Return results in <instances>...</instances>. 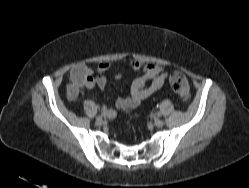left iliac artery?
Masks as SVG:
<instances>
[{"label": "left iliac artery", "instance_id": "44dca946", "mask_svg": "<svg viewBox=\"0 0 249 188\" xmlns=\"http://www.w3.org/2000/svg\"><path fill=\"white\" fill-rule=\"evenodd\" d=\"M155 116L161 117V113H160V112H157V113L155 114Z\"/></svg>", "mask_w": 249, "mask_h": 188}]
</instances>
